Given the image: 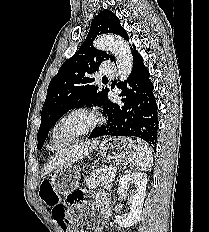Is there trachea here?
Here are the masks:
<instances>
[{
	"label": "trachea",
	"mask_w": 209,
	"mask_h": 232,
	"mask_svg": "<svg viewBox=\"0 0 209 232\" xmlns=\"http://www.w3.org/2000/svg\"><path fill=\"white\" fill-rule=\"evenodd\" d=\"M103 79H104V80H107V78H106V77H104Z\"/></svg>",
	"instance_id": "obj_1"
}]
</instances>
